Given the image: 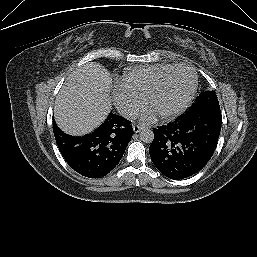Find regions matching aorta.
<instances>
[{
	"label": "aorta",
	"instance_id": "aorta-1",
	"mask_svg": "<svg viewBox=\"0 0 257 257\" xmlns=\"http://www.w3.org/2000/svg\"><path fill=\"white\" fill-rule=\"evenodd\" d=\"M140 139L145 143H151L154 139V133L148 128H144L140 131Z\"/></svg>",
	"mask_w": 257,
	"mask_h": 257
}]
</instances>
